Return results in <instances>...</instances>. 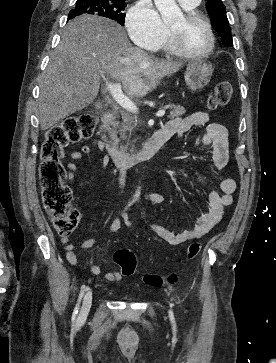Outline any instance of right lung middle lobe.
Returning a JSON list of instances; mask_svg holds the SVG:
<instances>
[{
    "label": "right lung middle lobe",
    "instance_id": "dd1d6c3e",
    "mask_svg": "<svg viewBox=\"0 0 276 363\" xmlns=\"http://www.w3.org/2000/svg\"><path fill=\"white\" fill-rule=\"evenodd\" d=\"M125 7V1L77 0L75 8L70 11L68 17L74 18L81 14H91L110 18L124 25L125 14L122 11Z\"/></svg>",
    "mask_w": 276,
    "mask_h": 363
}]
</instances>
